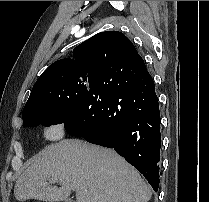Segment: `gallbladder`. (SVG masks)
Masks as SVG:
<instances>
[{"instance_id":"obj_1","label":"gallbladder","mask_w":209,"mask_h":202,"mask_svg":"<svg viewBox=\"0 0 209 202\" xmlns=\"http://www.w3.org/2000/svg\"><path fill=\"white\" fill-rule=\"evenodd\" d=\"M65 202H75L73 199L69 198Z\"/></svg>"}]
</instances>
